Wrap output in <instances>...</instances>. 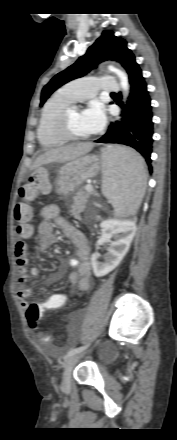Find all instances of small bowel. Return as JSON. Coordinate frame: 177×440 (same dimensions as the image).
<instances>
[{
    "label": "small bowel",
    "mask_w": 177,
    "mask_h": 440,
    "mask_svg": "<svg viewBox=\"0 0 177 440\" xmlns=\"http://www.w3.org/2000/svg\"><path fill=\"white\" fill-rule=\"evenodd\" d=\"M59 212V207L54 204L46 205L40 209L39 215L42 218V221L36 226V232L39 236L38 248L41 251H46L58 241V238L54 233V225L51 223V221H53L77 248L78 258L70 259L68 261V264L71 267L77 268V271H73L69 274V281L77 290L87 291L92 284L90 277V263L88 260L90 253L88 241L80 230L60 217ZM31 230H33V228H31L29 233L25 236H30ZM26 249L27 246L22 241L17 242L15 245V256L18 266V283L20 285V288L17 291V296L23 309H28V299L32 294L31 289L25 285L29 276V273L27 272L28 259L26 256ZM32 273H35V271H32ZM55 278L56 275H53L50 280H54ZM47 298H66L67 300L68 296L64 293H55L49 295ZM44 340L45 338H43V341Z\"/></svg>",
    "instance_id": "obj_1"
}]
</instances>
